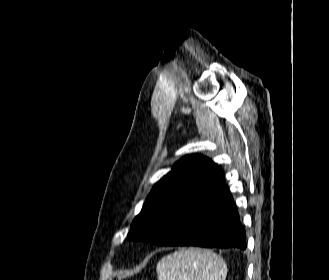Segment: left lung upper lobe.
I'll return each mask as SVG.
<instances>
[{"mask_svg": "<svg viewBox=\"0 0 329 280\" xmlns=\"http://www.w3.org/2000/svg\"><path fill=\"white\" fill-rule=\"evenodd\" d=\"M223 183V172L202 155H189L153 187L143 208L131 224L128 238L166 245L169 238L159 233L173 223L184 205L212 186Z\"/></svg>", "mask_w": 329, "mask_h": 280, "instance_id": "1", "label": "left lung upper lobe"}]
</instances>
